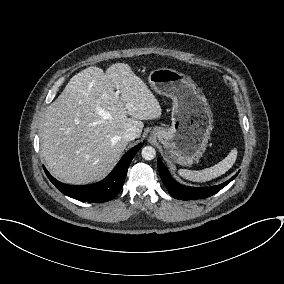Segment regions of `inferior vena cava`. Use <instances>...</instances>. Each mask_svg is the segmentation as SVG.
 Masks as SVG:
<instances>
[{"label": "inferior vena cava", "mask_w": 284, "mask_h": 284, "mask_svg": "<svg viewBox=\"0 0 284 284\" xmlns=\"http://www.w3.org/2000/svg\"><path fill=\"white\" fill-rule=\"evenodd\" d=\"M136 132L133 128H128L126 129V131L124 132L123 134V138L126 140V141H132L136 138Z\"/></svg>", "instance_id": "obj_1"}]
</instances>
